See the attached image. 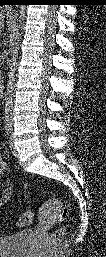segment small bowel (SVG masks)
<instances>
[{
	"label": "small bowel",
	"instance_id": "obj_1",
	"mask_svg": "<svg viewBox=\"0 0 106 257\" xmlns=\"http://www.w3.org/2000/svg\"><path fill=\"white\" fill-rule=\"evenodd\" d=\"M8 172L7 164L1 159L0 160V174L2 177V184H1V195H0V204L3 205L10 197L13 184L11 181L5 179V175Z\"/></svg>",
	"mask_w": 106,
	"mask_h": 257
}]
</instances>
